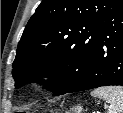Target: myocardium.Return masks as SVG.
<instances>
[{
	"label": "myocardium",
	"instance_id": "f54148a6",
	"mask_svg": "<svg viewBox=\"0 0 123 113\" xmlns=\"http://www.w3.org/2000/svg\"><path fill=\"white\" fill-rule=\"evenodd\" d=\"M54 69H47L39 77L40 84H44L53 74Z\"/></svg>",
	"mask_w": 123,
	"mask_h": 113
}]
</instances>
